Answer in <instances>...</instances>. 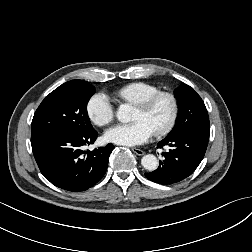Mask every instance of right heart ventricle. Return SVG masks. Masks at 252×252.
<instances>
[{
  "label": "right heart ventricle",
  "mask_w": 252,
  "mask_h": 252,
  "mask_svg": "<svg viewBox=\"0 0 252 252\" xmlns=\"http://www.w3.org/2000/svg\"><path fill=\"white\" fill-rule=\"evenodd\" d=\"M158 92H160L159 88L152 84L134 82L118 89L115 95L122 100L138 105Z\"/></svg>",
  "instance_id": "right-heart-ventricle-1"
}]
</instances>
